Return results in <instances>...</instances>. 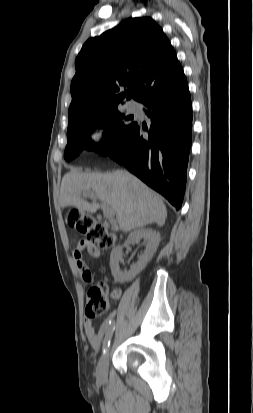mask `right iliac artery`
<instances>
[{
  "instance_id": "82829eb1",
  "label": "right iliac artery",
  "mask_w": 253,
  "mask_h": 413,
  "mask_svg": "<svg viewBox=\"0 0 253 413\" xmlns=\"http://www.w3.org/2000/svg\"><path fill=\"white\" fill-rule=\"evenodd\" d=\"M114 329H115V325L108 331V333L105 336V339L103 342V354L106 353L108 347L110 346V339L112 337Z\"/></svg>"
}]
</instances>
